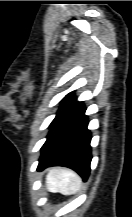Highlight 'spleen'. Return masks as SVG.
<instances>
[{
	"label": "spleen",
	"mask_w": 132,
	"mask_h": 217,
	"mask_svg": "<svg viewBox=\"0 0 132 217\" xmlns=\"http://www.w3.org/2000/svg\"><path fill=\"white\" fill-rule=\"evenodd\" d=\"M82 180L78 174L66 168H53L46 177V187L51 192L71 195L81 188Z\"/></svg>",
	"instance_id": "obj_1"
}]
</instances>
